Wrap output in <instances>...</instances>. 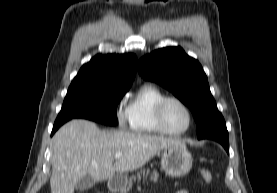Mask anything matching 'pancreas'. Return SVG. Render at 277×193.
I'll return each mask as SVG.
<instances>
[{
    "label": "pancreas",
    "instance_id": "pancreas-1",
    "mask_svg": "<svg viewBox=\"0 0 277 193\" xmlns=\"http://www.w3.org/2000/svg\"><path fill=\"white\" fill-rule=\"evenodd\" d=\"M150 177V179L156 181L159 177V174L156 170H153V171H150L149 169H141L139 170L136 175H132L131 178H130V184H132V181H135L138 179H146Z\"/></svg>",
    "mask_w": 277,
    "mask_h": 193
}]
</instances>
